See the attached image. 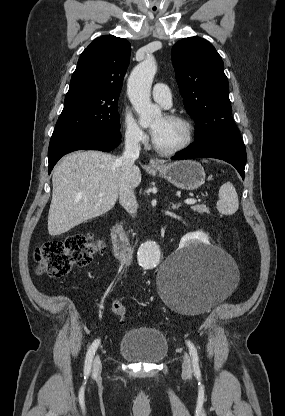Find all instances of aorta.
I'll return each mask as SVG.
<instances>
[{"label":"aorta","mask_w":285,"mask_h":416,"mask_svg":"<svg viewBox=\"0 0 285 416\" xmlns=\"http://www.w3.org/2000/svg\"><path fill=\"white\" fill-rule=\"evenodd\" d=\"M156 71L157 65L154 58L148 57L133 69L128 79V97L139 115L141 125H149L161 116L159 107L152 104L150 99ZM137 259L144 268L156 267L160 261V250L156 242L143 243L138 250Z\"/></svg>","instance_id":"762f6f07"}]
</instances>
